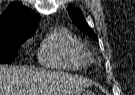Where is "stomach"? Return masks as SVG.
Instances as JSON below:
<instances>
[{"label": "stomach", "instance_id": "0dacf381", "mask_svg": "<svg viewBox=\"0 0 135 95\" xmlns=\"http://www.w3.org/2000/svg\"><path fill=\"white\" fill-rule=\"evenodd\" d=\"M76 95H95L91 90L83 89L80 93Z\"/></svg>", "mask_w": 135, "mask_h": 95}]
</instances>
